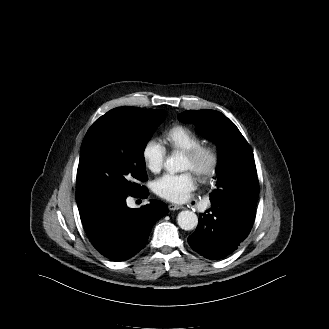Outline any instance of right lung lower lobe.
I'll return each mask as SVG.
<instances>
[{
  "mask_svg": "<svg viewBox=\"0 0 329 329\" xmlns=\"http://www.w3.org/2000/svg\"><path fill=\"white\" fill-rule=\"evenodd\" d=\"M145 188L134 197L146 198ZM127 194L101 190L79 200L78 209L84 230L94 247L105 257L123 261L138 253L150 231L167 214V206L157 200L140 209L126 205Z\"/></svg>",
  "mask_w": 329,
  "mask_h": 329,
  "instance_id": "right-lung-lower-lobe-1",
  "label": "right lung lower lobe"
}]
</instances>
